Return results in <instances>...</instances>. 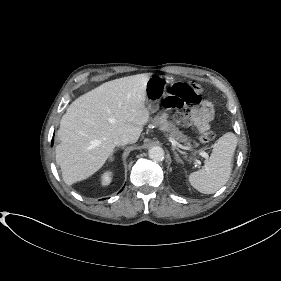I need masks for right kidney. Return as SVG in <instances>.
<instances>
[{
	"instance_id": "right-kidney-1",
	"label": "right kidney",
	"mask_w": 281,
	"mask_h": 281,
	"mask_svg": "<svg viewBox=\"0 0 281 281\" xmlns=\"http://www.w3.org/2000/svg\"><path fill=\"white\" fill-rule=\"evenodd\" d=\"M111 173L109 172H105L102 177H101V181H102V185H108L111 182Z\"/></svg>"
}]
</instances>
